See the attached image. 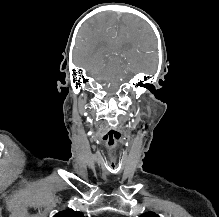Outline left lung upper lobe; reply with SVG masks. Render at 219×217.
Segmentation results:
<instances>
[{
	"label": "left lung upper lobe",
	"mask_w": 219,
	"mask_h": 217,
	"mask_svg": "<svg viewBox=\"0 0 219 217\" xmlns=\"http://www.w3.org/2000/svg\"><path fill=\"white\" fill-rule=\"evenodd\" d=\"M140 217H159L157 214H155L154 212H147L142 214Z\"/></svg>",
	"instance_id": "obj_1"
}]
</instances>
